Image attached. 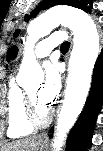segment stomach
Here are the masks:
<instances>
[{"mask_svg": "<svg viewBox=\"0 0 103 151\" xmlns=\"http://www.w3.org/2000/svg\"><path fill=\"white\" fill-rule=\"evenodd\" d=\"M47 146L46 142H44L42 139H39L37 141V150H43Z\"/></svg>", "mask_w": 103, "mask_h": 151, "instance_id": "0dacf381", "label": "stomach"}]
</instances>
